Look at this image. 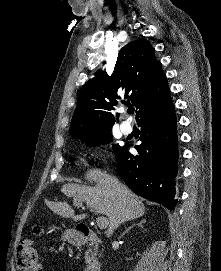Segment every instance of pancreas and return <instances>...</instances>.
<instances>
[{
  "label": "pancreas",
  "mask_w": 221,
  "mask_h": 271,
  "mask_svg": "<svg viewBox=\"0 0 221 271\" xmlns=\"http://www.w3.org/2000/svg\"><path fill=\"white\" fill-rule=\"evenodd\" d=\"M98 257L95 255V251H93L92 247H89L87 251H85V263H91V261H97Z\"/></svg>",
  "instance_id": "pancreas-1"
}]
</instances>
